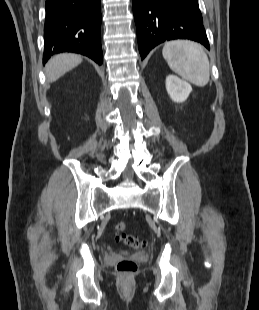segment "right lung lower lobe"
I'll use <instances>...</instances> for the list:
<instances>
[{
	"label": "right lung lower lobe",
	"mask_w": 259,
	"mask_h": 310,
	"mask_svg": "<svg viewBox=\"0 0 259 310\" xmlns=\"http://www.w3.org/2000/svg\"><path fill=\"white\" fill-rule=\"evenodd\" d=\"M43 63L60 52L103 62L100 0H46Z\"/></svg>",
	"instance_id": "98d812e1"
}]
</instances>
